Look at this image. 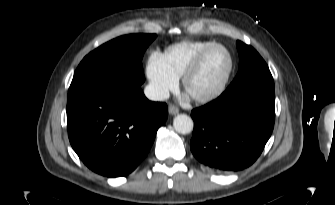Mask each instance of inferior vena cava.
I'll return each instance as SVG.
<instances>
[{
	"label": "inferior vena cava",
	"mask_w": 335,
	"mask_h": 205,
	"mask_svg": "<svg viewBox=\"0 0 335 205\" xmlns=\"http://www.w3.org/2000/svg\"><path fill=\"white\" fill-rule=\"evenodd\" d=\"M145 96L153 101H162L169 97L167 90L159 89L153 85H147L144 89Z\"/></svg>",
	"instance_id": "1"
}]
</instances>
